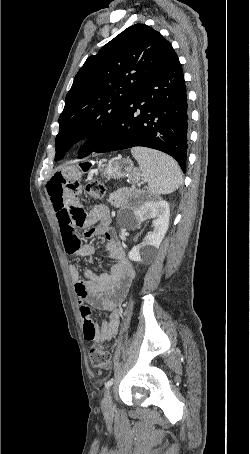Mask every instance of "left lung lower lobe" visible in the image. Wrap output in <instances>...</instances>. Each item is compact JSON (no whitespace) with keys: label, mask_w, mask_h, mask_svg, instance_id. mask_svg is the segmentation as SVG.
<instances>
[{"label":"left lung lower lobe","mask_w":250,"mask_h":454,"mask_svg":"<svg viewBox=\"0 0 250 454\" xmlns=\"http://www.w3.org/2000/svg\"><path fill=\"white\" fill-rule=\"evenodd\" d=\"M188 105L182 66L175 51L128 102L96 153L135 146L160 150L186 169Z\"/></svg>","instance_id":"obj_1"}]
</instances>
